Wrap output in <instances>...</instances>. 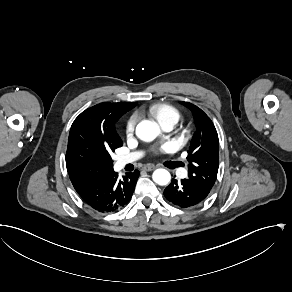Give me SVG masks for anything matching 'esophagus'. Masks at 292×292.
Here are the masks:
<instances>
[{
  "label": "esophagus",
  "instance_id": "1",
  "mask_svg": "<svg viewBox=\"0 0 292 292\" xmlns=\"http://www.w3.org/2000/svg\"><path fill=\"white\" fill-rule=\"evenodd\" d=\"M155 169V166H152V165H144L143 166V170L145 171H152Z\"/></svg>",
  "mask_w": 292,
  "mask_h": 292
}]
</instances>
